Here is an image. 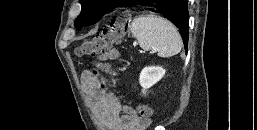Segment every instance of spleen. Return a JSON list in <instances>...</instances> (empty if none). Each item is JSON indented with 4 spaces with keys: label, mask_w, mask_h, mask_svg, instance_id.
<instances>
[{
    "label": "spleen",
    "mask_w": 257,
    "mask_h": 130,
    "mask_svg": "<svg viewBox=\"0 0 257 130\" xmlns=\"http://www.w3.org/2000/svg\"><path fill=\"white\" fill-rule=\"evenodd\" d=\"M131 33L142 49L156 50L158 56L163 58L178 54L182 48V39L176 27L155 14L135 17Z\"/></svg>",
    "instance_id": "3e777b00"
}]
</instances>
